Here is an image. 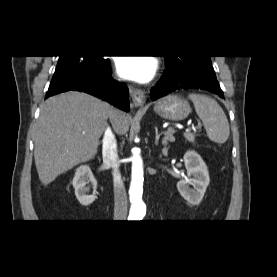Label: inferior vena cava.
<instances>
[{
	"label": "inferior vena cava",
	"instance_id": "602c4592",
	"mask_svg": "<svg viewBox=\"0 0 277 277\" xmlns=\"http://www.w3.org/2000/svg\"><path fill=\"white\" fill-rule=\"evenodd\" d=\"M102 156L103 163L113 170L114 219L124 221L127 217V195L119 172L117 142L110 127L104 133Z\"/></svg>",
	"mask_w": 277,
	"mask_h": 277
}]
</instances>
